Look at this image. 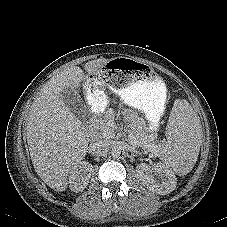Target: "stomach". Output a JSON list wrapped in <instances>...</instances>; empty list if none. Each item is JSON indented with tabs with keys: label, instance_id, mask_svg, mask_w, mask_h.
Here are the masks:
<instances>
[{
	"label": "stomach",
	"instance_id": "obj_1",
	"mask_svg": "<svg viewBox=\"0 0 227 227\" xmlns=\"http://www.w3.org/2000/svg\"><path fill=\"white\" fill-rule=\"evenodd\" d=\"M91 83V84H89ZM110 88L127 105L142 110L152 125L164 111L166 87L157 73L132 58H115L99 63L87 80L86 96L97 113L107 110L103 90Z\"/></svg>",
	"mask_w": 227,
	"mask_h": 227
}]
</instances>
